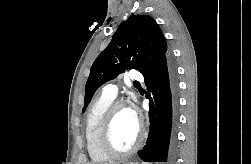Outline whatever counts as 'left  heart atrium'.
Returning <instances> with one entry per match:
<instances>
[{
  "mask_svg": "<svg viewBox=\"0 0 251 164\" xmlns=\"http://www.w3.org/2000/svg\"><path fill=\"white\" fill-rule=\"evenodd\" d=\"M129 110L131 112L132 117L138 122L136 111L133 108H129Z\"/></svg>",
  "mask_w": 251,
  "mask_h": 164,
  "instance_id": "1",
  "label": "left heart atrium"
}]
</instances>
